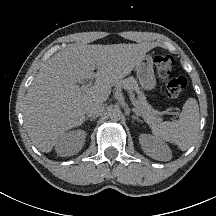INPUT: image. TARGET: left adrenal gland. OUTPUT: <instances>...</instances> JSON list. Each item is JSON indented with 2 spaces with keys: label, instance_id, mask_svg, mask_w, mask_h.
I'll use <instances>...</instances> for the list:
<instances>
[{
  "label": "left adrenal gland",
  "instance_id": "1",
  "mask_svg": "<svg viewBox=\"0 0 216 216\" xmlns=\"http://www.w3.org/2000/svg\"><path fill=\"white\" fill-rule=\"evenodd\" d=\"M132 119L137 120L138 122H142V120L138 118V114L132 115Z\"/></svg>",
  "mask_w": 216,
  "mask_h": 216
}]
</instances>
